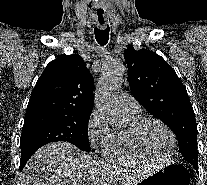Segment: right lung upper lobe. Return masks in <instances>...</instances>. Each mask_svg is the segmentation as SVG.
<instances>
[{"instance_id": "obj_1", "label": "right lung upper lobe", "mask_w": 207, "mask_h": 185, "mask_svg": "<svg viewBox=\"0 0 207 185\" xmlns=\"http://www.w3.org/2000/svg\"><path fill=\"white\" fill-rule=\"evenodd\" d=\"M93 77L78 54L62 55L47 64L33 89L26 113L49 112L90 116Z\"/></svg>"}]
</instances>
